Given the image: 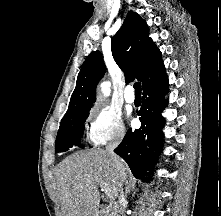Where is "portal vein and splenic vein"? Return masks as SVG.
I'll return each instance as SVG.
<instances>
[{"label": "portal vein and splenic vein", "mask_w": 221, "mask_h": 216, "mask_svg": "<svg viewBox=\"0 0 221 216\" xmlns=\"http://www.w3.org/2000/svg\"><path fill=\"white\" fill-rule=\"evenodd\" d=\"M102 191H104V193L107 195L108 198H110V199H114L111 190L102 189Z\"/></svg>", "instance_id": "18ae733b"}]
</instances>
